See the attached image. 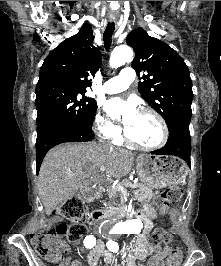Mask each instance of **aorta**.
<instances>
[{
	"label": "aorta",
	"instance_id": "1",
	"mask_svg": "<svg viewBox=\"0 0 221 266\" xmlns=\"http://www.w3.org/2000/svg\"><path fill=\"white\" fill-rule=\"evenodd\" d=\"M133 59V50L127 46L122 45L116 47L111 53L110 57V66L112 68H118L125 63L132 61ZM142 223L138 219H129L123 222L116 224L115 226L107 227L108 230L115 233H124V234H136L141 232Z\"/></svg>",
	"mask_w": 221,
	"mask_h": 266
}]
</instances>
